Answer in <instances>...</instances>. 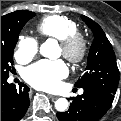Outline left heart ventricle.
<instances>
[{
	"mask_svg": "<svg viewBox=\"0 0 121 121\" xmlns=\"http://www.w3.org/2000/svg\"><path fill=\"white\" fill-rule=\"evenodd\" d=\"M60 53H62V48H61V46H60Z\"/></svg>",
	"mask_w": 121,
	"mask_h": 121,
	"instance_id": "1",
	"label": "left heart ventricle"
}]
</instances>
